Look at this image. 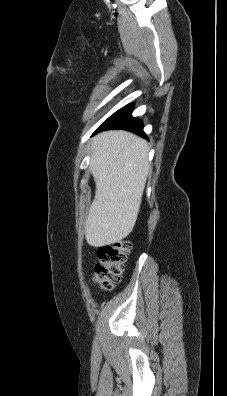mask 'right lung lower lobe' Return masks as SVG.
I'll return each instance as SVG.
<instances>
[{"instance_id": "obj_1", "label": "right lung lower lobe", "mask_w": 227, "mask_h": 396, "mask_svg": "<svg viewBox=\"0 0 227 396\" xmlns=\"http://www.w3.org/2000/svg\"><path fill=\"white\" fill-rule=\"evenodd\" d=\"M132 109L133 105L129 104L116 111L97 128L94 134L110 129H123L146 138L142 121L131 116Z\"/></svg>"}]
</instances>
